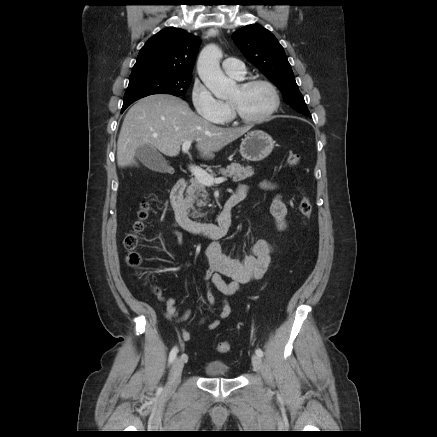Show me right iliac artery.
<instances>
[{
    "label": "right iliac artery",
    "instance_id": "82829eb1",
    "mask_svg": "<svg viewBox=\"0 0 437 437\" xmlns=\"http://www.w3.org/2000/svg\"><path fill=\"white\" fill-rule=\"evenodd\" d=\"M177 353H178V348L177 346H175L170 352L169 364H171L175 360Z\"/></svg>",
    "mask_w": 437,
    "mask_h": 437
}]
</instances>
